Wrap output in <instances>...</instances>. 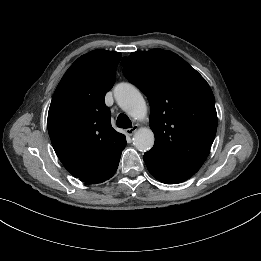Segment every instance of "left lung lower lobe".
<instances>
[{
  "label": "left lung lower lobe",
  "instance_id": "left-lung-lower-lobe-1",
  "mask_svg": "<svg viewBox=\"0 0 261 261\" xmlns=\"http://www.w3.org/2000/svg\"><path fill=\"white\" fill-rule=\"evenodd\" d=\"M149 172L166 184L183 182L193 176L201 167L197 164H182L166 160L155 153L146 152L143 157Z\"/></svg>",
  "mask_w": 261,
  "mask_h": 261
}]
</instances>
